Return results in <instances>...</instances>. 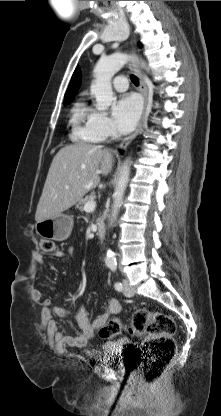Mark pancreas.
Masks as SVG:
<instances>
[{
    "mask_svg": "<svg viewBox=\"0 0 221 416\" xmlns=\"http://www.w3.org/2000/svg\"><path fill=\"white\" fill-rule=\"evenodd\" d=\"M95 198V193L92 192L90 195H87L85 198H82L78 201V204L76 205V207L80 210V211H84V205L91 200H94ZM99 221V219H98Z\"/></svg>",
    "mask_w": 221,
    "mask_h": 416,
    "instance_id": "1",
    "label": "pancreas"
}]
</instances>
